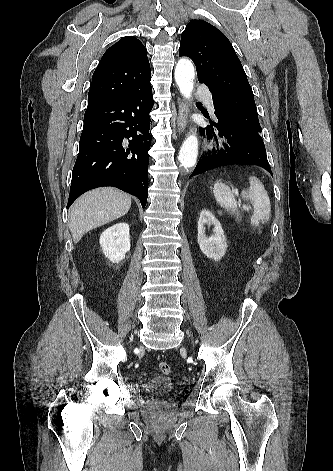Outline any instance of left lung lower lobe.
Listing matches in <instances>:
<instances>
[{
	"label": "left lung lower lobe",
	"mask_w": 333,
	"mask_h": 471,
	"mask_svg": "<svg viewBox=\"0 0 333 471\" xmlns=\"http://www.w3.org/2000/svg\"><path fill=\"white\" fill-rule=\"evenodd\" d=\"M205 117L210 120L208 116ZM215 118V122L210 120V125L200 128V132L209 138L214 136L216 140L217 136L225 138L227 144H224V149L200 158L190 177L230 164L261 166L272 175L263 140L244 128L233 126L226 118L216 113Z\"/></svg>",
	"instance_id": "1"
}]
</instances>
